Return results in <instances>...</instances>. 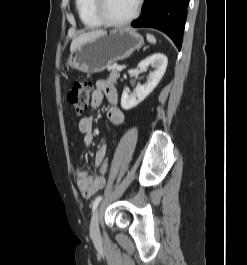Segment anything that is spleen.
<instances>
[{"mask_svg": "<svg viewBox=\"0 0 247 265\" xmlns=\"http://www.w3.org/2000/svg\"><path fill=\"white\" fill-rule=\"evenodd\" d=\"M146 38H147V41H148L149 43H153V44L156 43V39H155V37H154L153 35H151V34H147V35H146Z\"/></svg>", "mask_w": 247, "mask_h": 265, "instance_id": "spleen-1", "label": "spleen"}]
</instances>
